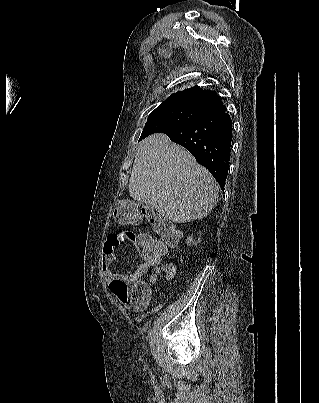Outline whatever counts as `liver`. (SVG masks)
<instances>
[{"label": "liver", "instance_id": "1", "mask_svg": "<svg viewBox=\"0 0 319 403\" xmlns=\"http://www.w3.org/2000/svg\"><path fill=\"white\" fill-rule=\"evenodd\" d=\"M218 190L210 172L165 134L155 133L139 143L129 193L164 218L184 223L206 217Z\"/></svg>", "mask_w": 319, "mask_h": 403}]
</instances>
